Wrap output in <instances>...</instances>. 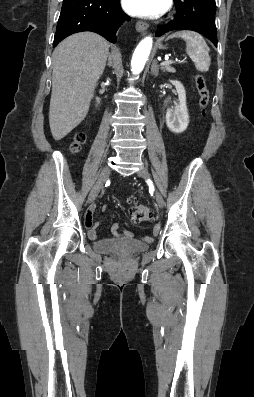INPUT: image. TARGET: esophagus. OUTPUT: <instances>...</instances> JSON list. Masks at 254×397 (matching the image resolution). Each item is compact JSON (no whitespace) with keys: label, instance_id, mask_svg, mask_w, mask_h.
Returning a JSON list of instances; mask_svg holds the SVG:
<instances>
[{"label":"esophagus","instance_id":"esophagus-1","mask_svg":"<svg viewBox=\"0 0 254 397\" xmlns=\"http://www.w3.org/2000/svg\"><path fill=\"white\" fill-rule=\"evenodd\" d=\"M149 28V24L144 21H138L136 23V30L141 34H146Z\"/></svg>","mask_w":254,"mask_h":397}]
</instances>
